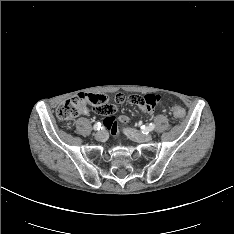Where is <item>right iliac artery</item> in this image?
Here are the masks:
<instances>
[{
  "label": "right iliac artery",
  "instance_id": "1",
  "mask_svg": "<svg viewBox=\"0 0 234 234\" xmlns=\"http://www.w3.org/2000/svg\"><path fill=\"white\" fill-rule=\"evenodd\" d=\"M93 129H94V130H100V129H102L101 123L98 122V123L94 124Z\"/></svg>",
  "mask_w": 234,
  "mask_h": 234
}]
</instances>
